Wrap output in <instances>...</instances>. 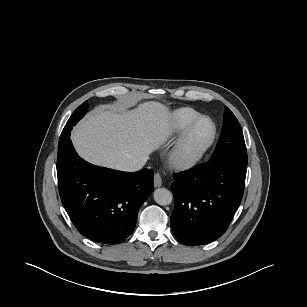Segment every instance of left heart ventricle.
I'll use <instances>...</instances> for the list:
<instances>
[{"label": "left heart ventricle", "mask_w": 307, "mask_h": 307, "mask_svg": "<svg viewBox=\"0 0 307 307\" xmlns=\"http://www.w3.org/2000/svg\"><path fill=\"white\" fill-rule=\"evenodd\" d=\"M213 132L212 124L204 120L194 129L187 145V153H192L203 147L210 139Z\"/></svg>", "instance_id": "left-heart-ventricle-1"}]
</instances>
